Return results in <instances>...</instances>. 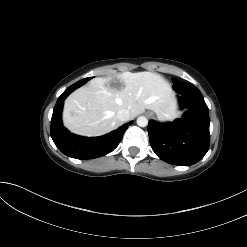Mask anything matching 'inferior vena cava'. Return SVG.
Segmentation results:
<instances>
[{"label": "inferior vena cava", "mask_w": 247, "mask_h": 247, "mask_svg": "<svg viewBox=\"0 0 247 247\" xmlns=\"http://www.w3.org/2000/svg\"><path fill=\"white\" fill-rule=\"evenodd\" d=\"M117 118L122 122L128 121L130 119V112L127 109H121L117 112Z\"/></svg>", "instance_id": "obj_1"}]
</instances>
